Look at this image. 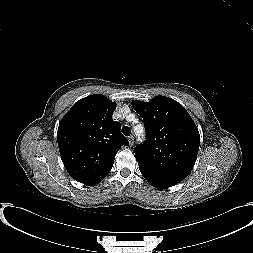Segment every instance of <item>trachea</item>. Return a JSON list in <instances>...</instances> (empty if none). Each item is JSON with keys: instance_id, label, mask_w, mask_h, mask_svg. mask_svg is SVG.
I'll use <instances>...</instances> for the list:
<instances>
[{"instance_id": "3493384b", "label": "trachea", "mask_w": 253, "mask_h": 253, "mask_svg": "<svg viewBox=\"0 0 253 253\" xmlns=\"http://www.w3.org/2000/svg\"><path fill=\"white\" fill-rule=\"evenodd\" d=\"M122 133L125 135V136H129L131 134V129L128 127V126H124L122 128Z\"/></svg>"}]
</instances>
